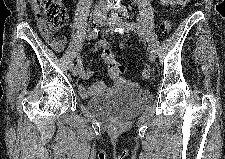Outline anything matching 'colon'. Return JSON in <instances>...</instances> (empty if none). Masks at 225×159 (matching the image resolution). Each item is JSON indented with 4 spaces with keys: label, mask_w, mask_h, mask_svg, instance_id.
<instances>
[{
    "label": "colon",
    "mask_w": 225,
    "mask_h": 159,
    "mask_svg": "<svg viewBox=\"0 0 225 159\" xmlns=\"http://www.w3.org/2000/svg\"><path fill=\"white\" fill-rule=\"evenodd\" d=\"M41 10L39 12V21L42 29L50 35L57 36L56 33L61 30L67 22V10L61 0H42ZM162 29L165 32L171 30V22L167 19L162 21ZM63 43L62 41H60ZM101 57L109 68V73L113 77H121L125 73V67L117 62L110 48L102 50ZM143 80H150L152 72L148 67H144L140 72Z\"/></svg>",
    "instance_id": "colon-1"
}]
</instances>
